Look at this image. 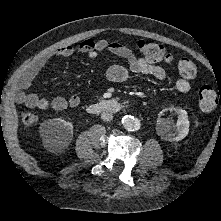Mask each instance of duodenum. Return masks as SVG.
I'll list each match as a JSON object with an SVG mask.
<instances>
[{"instance_id": "410a0bca", "label": "duodenum", "mask_w": 221, "mask_h": 221, "mask_svg": "<svg viewBox=\"0 0 221 221\" xmlns=\"http://www.w3.org/2000/svg\"><path fill=\"white\" fill-rule=\"evenodd\" d=\"M123 106L114 99L102 100L87 106L89 113L110 112L116 113L121 111Z\"/></svg>"}]
</instances>
